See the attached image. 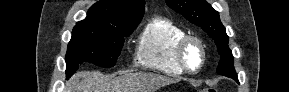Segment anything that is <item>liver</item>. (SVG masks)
Wrapping results in <instances>:
<instances>
[{
    "instance_id": "6515ba94",
    "label": "liver",
    "mask_w": 289,
    "mask_h": 92,
    "mask_svg": "<svg viewBox=\"0 0 289 92\" xmlns=\"http://www.w3.org/2000/svg\"><path fill=\"white\" fill-rule=\"evenodd\" d=\"M177 79L154 73H125L119 77L99 72L75 74L67 83V92H155Z\"/></svg>"
}]
</instances>
